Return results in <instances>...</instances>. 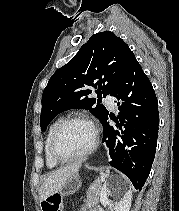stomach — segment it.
Instances as JSON below:
<instances>
[{"instance_id": "0dacf381", "label": "stomach", "mask_w": 179, "mask_h": 211, "mask_svg": "<svg viewBox=\"0 0 179 211\" xmlns=\"http://www.w3.org/2000/svg\"><path fill=\"white\" fill-rule=\"evenodd\" d=\"M82 185V181L79 177L78 174L72 175L67 182L65 183V185L54 195H58L60 197H64V196H68L71 194H74L76 191H78L80 189Z\"/></svg>"}]
</instances>
